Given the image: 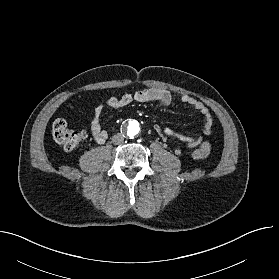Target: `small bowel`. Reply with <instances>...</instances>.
I'll return each mask as SVG.
<instances>
[{"instance_id": "1", "label": "small bowel", "mask_w": 279, "mask_h": 279, "mask_svg": "<svg viewBox=\"0 0 279 279\" xmlns=\"http://www.w3.org/2000/svg\"><path fill=\"white\" fill-rule=\"evenodd\" d=\"M150 102H158L163 106H169L172 102L171 93L164 89L147 88L134 93H125L119 97L111 96L107 98L105 101L99 103L94 109V113L90 122V132L92 137L99 144H102L107 140V132L103 130L100 124V118L105 108L118 109L126 107L132 103ZM180 102L203 116L205 123L202 134L198 136H188L180 134L171 128L159 129V132L161 133L163 139L166 137H174L184 142L187 147L192 148L201 143L205 136H209L212 133L213 120L209 109L204 106L202 102L193 98L192 96L188 94H182L180 96ZM175 153L180 154L181 149L176 148Z\"/></svg>"}]
</instances>
